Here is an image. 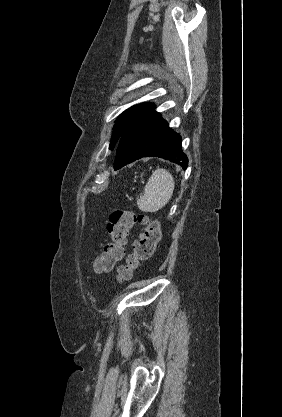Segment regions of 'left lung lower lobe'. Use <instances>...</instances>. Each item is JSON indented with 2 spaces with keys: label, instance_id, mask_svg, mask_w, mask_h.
I'll list each match as a JSON object with an SVG mask.
<instances>
[{
  "label": "left lung lower lobe",
  "instance_id": "1",
  "mask_svg": "<svg viewBox=\"0 0 282 417\" xmlns=\"http://www.w3.org/2000/svg\"><path fill=\"white\" fill-rule=\"evenodd\" d=\"M153 104L138 105L124 123L116 146L114 170L142 157H160L187 168L181 136L153 109Z\"/></svg>",
  "mask_w": 282,
  "mask_h": 417
}]
</instances>
